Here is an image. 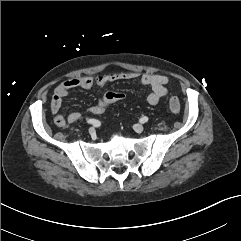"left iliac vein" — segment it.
<instances>
[{
  "label": "left iliac vein",
  "instance_id": "1",
  "mask_svg": "<svg viewBox=\"0 0 241 241\" xmlns=\"http://www.w3.org/2000/svg\"><path fill=\"white\" fill-rule=\"evenodd\" d=\"M134 130L137 132V133H141L143 130H144V127L142 124H135L134 125Z\"/></svg>",
  "mask_w": 241,
  "mask_h": 241
}]
</instances>
